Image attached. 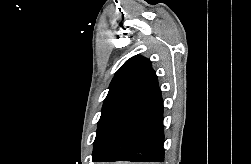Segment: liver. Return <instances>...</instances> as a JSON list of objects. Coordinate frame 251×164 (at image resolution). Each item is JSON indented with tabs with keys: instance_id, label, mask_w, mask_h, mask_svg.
<instances>
[{
	"instance_id": "1",
	"label": "liver",
	"mask_w": 251,
	"mask_h": 164,
	"mask_svg": "<svg viewBox=\"0 0 251 164\" xmlns=\"http://www.w3.org/2000/svg\"><path fill=\"white\" fill-rule=\"evenodd\" d=\"M114 164H129V163H114Z\"/></svg>"
}]
</instances>
